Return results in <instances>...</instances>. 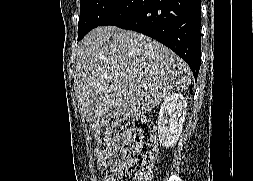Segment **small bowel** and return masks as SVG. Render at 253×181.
<instances>
[{"instance_id": "small-bowel-1", "label": "small bowel", "mask_w": 253, "mask_h": 181, "mask_svg": "<svg viewBox=\"0 0 253 181\" xmlns=\"http://www.w3.org/2000/svg\"><path fill=\"white\" fill-rule=\"evenodd\" d=\"M95 156L97 158V166L99 169L114 168L119 163V159L116 156V148L112 150L108 148L97 149L95 151ZM109 174L106 175L105 179H107Z\"/></svg>"}]
</instances>
